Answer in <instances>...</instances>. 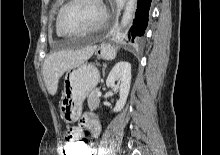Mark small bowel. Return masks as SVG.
<instances>
[{
	"label": "small bowel",
	"mask_w": 220,
	"mask_h": 155,
	"mask_svg": "<svg viewBox=\"0 0 220 155\" xmlns=\"http://www.w3.org/2000/svg\"><path fill=\"white\" fill-rule=\"evenodd\" d=\"M65 138L67 141L73 139H82L83 130L89 129L94 136H98L101 132L100 120L92 113H86L79 121V126H65ZM64 152V151H63ZM94 154V148L91 146L88 155Z\"/></svg>",
	"instance_id": "obj_1"
}]
</instances>
